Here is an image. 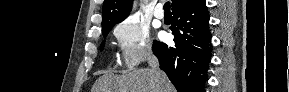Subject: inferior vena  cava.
I'll return each mask as SVG.
<instances>
[{"label":"inferior vena cava","mask_w":289,"mask_h":92,"mask_svg":"<svg viewBox=\"0 0 289 92\" xmlns=\"http://www.w3.org/2000/svg\"><path fill=\"white\" fill-rule=\"evenodd\" d=\"M147 61L149 66L151 67L152 70H154L155 75L158 79V86L162 82V77H163V72L159 69V61L158 59L153 55L152 52H149Z\"/></svg>","instance_id":"obj_1"}]
</instances>
